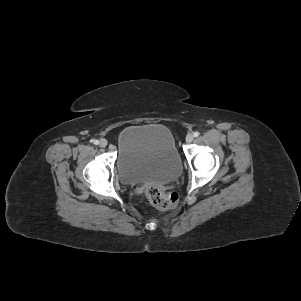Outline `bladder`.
Here are the masks:
<instances>
[{"label":"bladder","instance_id":"bladder-1","mask_svg":"<svg viewBox=\"0 0 301 301\" xmlns=\"http://www.w3.org/2000/svg\"><path fill=\"white\" fill-rule=\"evenodd\" d=\"M181 159L170 130L161 124L131 125L117 138L116 170L123 184H165L181 173Z\"/></svg>","mask_w":301,"mask_h":301}]
</instances>
